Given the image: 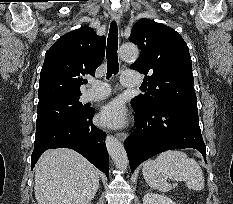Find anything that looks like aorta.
<instances>
[{
	"label": "aorta",
	"mask_w": 233,
	"mask_h": 204,
	"mask_svg": "<svg viewBox=\"0 0 233 204\" xmlns=\"http://www.w3.org/2000/svg\"><path fill=\"white\" fill-rule=\"evenodd\" d=\"M139 50L134 44H123L119 49V56L124 61H135L138 58ZM106 147L113 162L118 169H126L128 158L123 144L114 136L106 137Z\"/></svg>",
	"instance_id": "1"
}]
</instances>
